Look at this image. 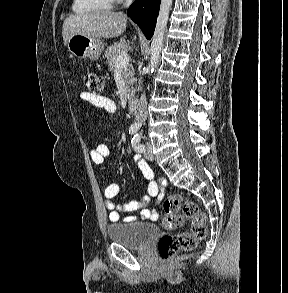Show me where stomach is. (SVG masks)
Listing matches in <instances>:
<instances>
[{
  "label": "stomach",
  "instance_id": "0dacf381",
  "mask_svg": "<svg viewBox=\"0 0 288 293\" xmlns=\"http://www.w3.org/2000/svg\"><path fill=\"white\" fill-rule=\"evenodd\" d=\"M67 48L71 55L77 58L97 60L104 49V42L101 38L73 34L67 42Z\"/></svg>",
  "mask_w": 288,
  "mask_h": 293
}]
</instances>
